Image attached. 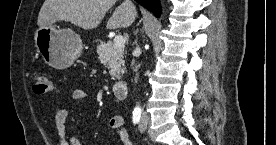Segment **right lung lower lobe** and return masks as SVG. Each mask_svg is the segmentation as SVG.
Returning <instances> with one entry per match:
<instances>
[{"instance_id": "1", "label": "right lung lower lobe", "mask_w": 276, "mask_h": 145, "mask_svg": "<svg viewBox=\"0 0 276 145\" xmlns=\"http://www.w3.org/2000/svg\"><path fill=\"white\" fill-rule=\"evenodd\" d=\"M137 3L141 4L145 8L149 9L154 13L156 17L161 14V6L159 0H135Z\"/></svg>"}]
</instances>
